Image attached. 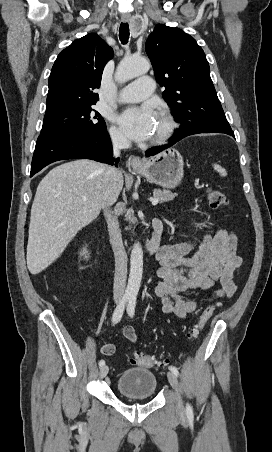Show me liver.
Here are the masks:
<instances>
[{
  "label": "liver",
  "instance_id": "obj_1",
  "mask_svg": "<svg viewBox=\"0 0 272 452\" xmlns=\"http://www.w3.org/2000/svg\"><path fill=\"white\" fill-rule=\"evenodd\" d=\"M107 166L80 159L53 168L39 183L31 208L27 267L36 275L60 257L73 237L105 206ZM123 174L115 182L117 197ZM83 199H86L85 201Z\"/></svg>",
  "mask_w": 272,
  "mask_h": 452
}]
</instances>
